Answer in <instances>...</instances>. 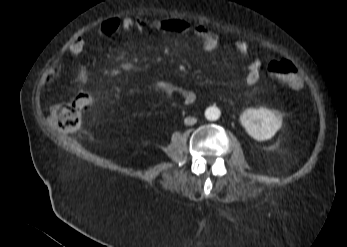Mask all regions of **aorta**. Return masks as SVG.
<instances>
[{
	"instance_id": "762f6f07",
	"label": "aorta",
	"mask_w": 347,
	"mask_h": 247,
	"mask_svg": "<svg viewBox=\"0 0 347 247\" xmlns=\"http://www.w3.org/2000/svg\"><path fill=\"white\" fill-rule=\"evenodd\" d=\"M205 116L208 120H217L220 117V111L218 109L209 108L206 110Z\"/></svg>"
}]
</instances>
